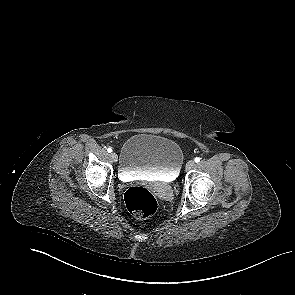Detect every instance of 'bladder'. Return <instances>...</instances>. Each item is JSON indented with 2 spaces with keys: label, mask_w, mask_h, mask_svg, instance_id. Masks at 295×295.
<instances>
[{
  "label": "bladder",
  "mask_w": 295,
  "mask_h": 295,
  "mask_svg": "<svg viewBox=\"0 0 295 295\" xmlns=\"http://www.w3.org/2000/svg\"><path fill=\"white\" fill-rule=\"evenodd\" d=\"M183 164L181 147L173 140L154 134H136L123 144L119 172L123 178L155 176L173 181Z\"/></svg>",
  "instance_id": "1"
}]
</instances>
